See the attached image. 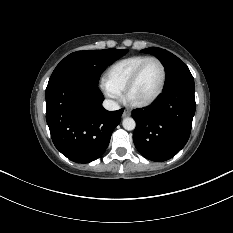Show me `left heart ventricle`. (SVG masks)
<instances>
[{"label": "left heart ventricle", "mask_w": 233, "mask_h": 233, "mask_svg": "<svg viewBox=\"0 0 233 233\" xmlns=\"http://www.w3.org/2000/svg\"><path fill=\"white\" fill-rule=\"evenodd\" d=\"M161 79L162 71L160 65L155 61L149 62L132 88L129 99L133 102L148 100L159 89Z\"/></svg>", "instance_id": "obj_1"}]
</instances>
